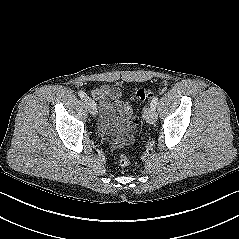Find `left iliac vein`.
I'll use <instances>...</instances> for the list:
<instances>
[{"mask_svg":"<svg viewBox=\"0 0 239 239\" xmlns=\"http://www.w3.org/2000/svg\"><path fill=\"white\" fill-rule=\"evenodd\" d=\"M144 118L149 124H154L157 120L156 109L152 106L146 108Z\"/></svg>","mask_w":239,"mask_h":239,"instance_id":"4c4485c4","label":"left iliac vein"}]
</instances>
